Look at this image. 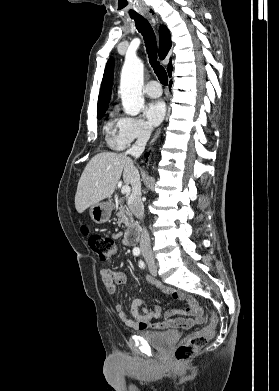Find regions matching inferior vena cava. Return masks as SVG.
Returning a JSON list of instances; mask_svg holds the SVG:
<instances>
[{
    "instance_id": "inferior-vena-cava-1",
    "label": "inferior vena cava",
    "mask_w": 279,
    "mask_h": 391,
    "mask_svg": "<svg viewBox=\"0 0 279 391\" xmlns=\"http://www.w3.org/2000/svg\"><path fill=\"white\" fill-rule=\"evenodd\" d=\"M151 135V128L144 127L140 132L135 144L126 151L125 155H131L138 158L144 151L146 143L148 142ZM132 192L128 199V204L131 212L137 219L143 221L144 219V206L142 203L141 193V181L138 170L133 167L131 177ZM140 249L143 255H151L152 249L150 245V238L148 231L145 226L142 227L140 236Z\"/></svg>"
}]
</instances>
